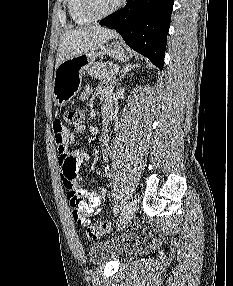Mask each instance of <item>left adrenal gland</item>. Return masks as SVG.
<instances>
[{"label": "left adrenal gland", "instance_id": "left-adrenal-gland-1", "mask_svg": "<svg viewBox=\"0 0 233 286\" xmlns=\"http://www.w3.org/2000/svg\"><path fill=\"white\" fill-rule=\"evenodd\" d=\"M137 67H139V64H138V63H136V64H126V65H124V66L122 67L121 71H120L121 75H120L119 80L117 81V86L120 84V82L122 81V79L125 78V76L127 75L128 72H130L131 70H133V69H135V68H137Z\"/></svg>", "mask_w": 233, "mask_h": 286}]
</instances>
